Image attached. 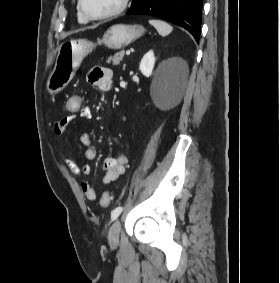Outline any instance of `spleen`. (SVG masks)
Returning <instances> with one entry per match:
<instances>
[{"label":"spleen","mask_w":280,"mask_h":283,"mask_svg":"<svg viewBox=\"0 0 280 283\" xmlns=\"http://www.w3.org/2000/svg\"><path fill=\"white\" fill-rule=\"evenodd\" d=\"M149 23L163 37L169 35L173 30V27L171 25H169L168 23H166L165 21H162V20L152 19V20H149Z\"/></svg>","instance_id":"1"}]
</instances>
